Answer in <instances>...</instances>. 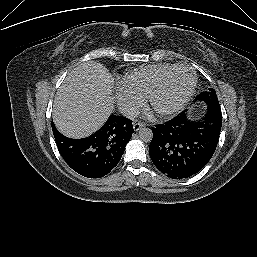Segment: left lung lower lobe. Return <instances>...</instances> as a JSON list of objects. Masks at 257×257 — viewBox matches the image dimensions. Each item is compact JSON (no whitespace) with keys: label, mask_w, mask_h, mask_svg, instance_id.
<instances>
[{"label":"left lung lower lobe","mask_w":257,"mask_h":257,"mask_svg":"<svg viewBox=\"0 0 257 257\" xmlns=\"http://www.w3.org/2000/svg\"><path fill=\"white\" fill-rule=\"evenodd\" d=\"M222 126L220 106L207 104L205 116L192 120L183 111L152 128L149 154L159 171L172 179L198 173L211 159Z\"/></svg>","instance_id":"0a47b994"}]
</instances>
